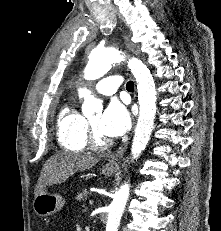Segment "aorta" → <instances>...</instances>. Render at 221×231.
I'll return each instance as SVG.
<instances>
[{
    "label": "aorta",
    "mask_w": 221,
    "mask_h": 231,
    "mask_svg": "<svg viewBox=\"0 0 221 231\" xmlns=\"http://www.w3.org/2000/svg\"><path fill=\"white\" fill-rule=\"evenodd\" d=\"M127 61L137 83L139 117L132 141V159L137 160L145 149L153 130L156 115L155 83L148 67L139 59H127L125 54L115 48H95L89 55V62L84 70L86 80H96L104 76L113 64ZM79 97L84 99L83 112L101 107V102L91 95V91L82 88L78 90ZM130 185L125 183L115 193L109 206L106 231H118L122 214L129 198Z\"/></svg>",
    "instance_id": "obj_1"
}]
</instances>
